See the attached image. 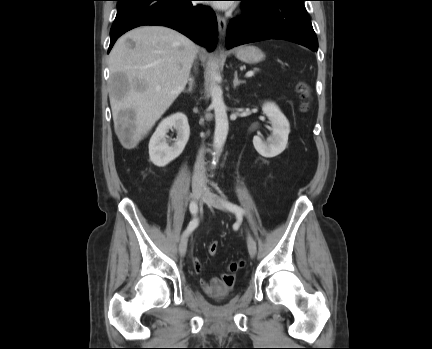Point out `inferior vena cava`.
Returning a JSON list of instances; mask_svg holds the SVG:
<instances>
[{"label": "inferior vena cava", "mask_w": 432, "mask_h": 349, "mask_svg": "<svg viewBox=\"0 0 432 349\" xmlns=\"http://www.w3.org/2000/svg\"><path fill=\"white\" fill-rule=\"evenodd\" d=\"M204 150L201 149L199 151L195 166H194V172L192 176V184L193 185H205L206 183V176L204 171Z\"/></svg>", "instance_id": "602c4592"}]
</instances>
